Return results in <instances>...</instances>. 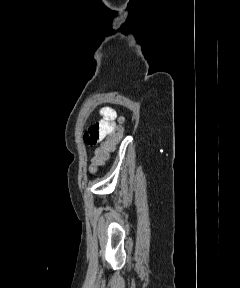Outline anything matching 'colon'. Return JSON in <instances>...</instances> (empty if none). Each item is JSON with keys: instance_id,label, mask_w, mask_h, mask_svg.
Listing matches in <instances>:
<instances>
[{"instance_id": "obj_1", "label": "colon", "mask_w": 240, "mask_h": 288, "mask_svg": "<svg viewBox=\"0 0 240 288\" xmlns=\"http://www.w3.org/2000/svg\"><path fill=\"white\" fill-rule=\"evenodd\" d=\"M121 135L120 128H117L110 137L96 150L95 156L92 160L91 170L94 171L98 166L103 164L111 151H113L117 141Z\"/></svg>"}]
</instances>
